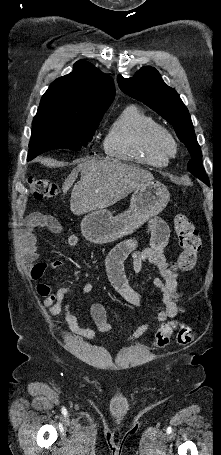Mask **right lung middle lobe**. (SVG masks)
Masks as SVG:
<instances>
[{
    "mask_svg": "<svg viewBox=\"0 0 221 455\" xmlns=\"http://www.w3.org/2000/svg\"><path fill=\"white\" fill-rule=\"evenodd\" d=\"M104 111L86 116L38 110L32 122L28 160L50 149L80 150L92 140Z\"/></svg>",
    "mask_w": 221,
    "mask_h": 455,
    "instance_id": "obj_1",
    "label": "right lung middle lobe"
}]
</instances>
